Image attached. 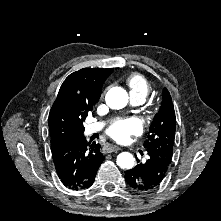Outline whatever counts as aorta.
<instances>
[{
	"label": "aorta",
	"mask_w": 221,
	"mask_h": 221,
	"mask_svg": "<svg viewBox=\"0 0 221 221\" xmlns=\"http://www.w3.org/2000/svg\"><path fill=\"white\" fill-rule=\"evenodd\" d=\"M106 103L111 109H122L128 103V93L121 87H113L106 94ZM117 165L123 169H131L135 158L131 153L122 152L117 156Z\"/></svg>",
	"instance_id": "obj_1"
}]
</instances>
